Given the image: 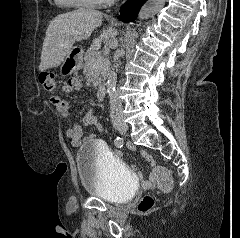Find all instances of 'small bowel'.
<instances>
[{"label": "small bowel", "mask_w": 240, "mask_h": 238, "mask_svg": "<svg viewBox=\"0 0 240 238\" xmlns=\"http://www.w3.org/2000/svg\"><path fill=\"white\" fill-rule=\"evenodd\" d=\"M80 88V82L77 79H70L67 84L63 86V91L66 93H70L74 90H77ZM51 103L55 106L58 113L63 117L69 116V103L66 99L60 98L58 96L51 97ZM95 105L92 106L90 111L83 117L82 124L80 123H74L71 128H69L66 132L67 137L70 139L72 146L78 147L82 141H83V132L84 127L93 126L98 129L99 132L102 131V126L98 122L97 117L94 115ZM89 139L95 138V135H90L88 137ZM126 151H135V146L132 145V143H125ZM111 151H114L115 154H123V149H118V146H111ZM141 157L151 166V172L148 176V179H141V184H143L144 187H155L154 176L153 171L156 168V163L153 157H151L146 151H140ZM131 169H136V164L130 165ZM138 175H143V170H138Z\"/></svg>", "instance_id": "c3829d8e"}]
</instances>
